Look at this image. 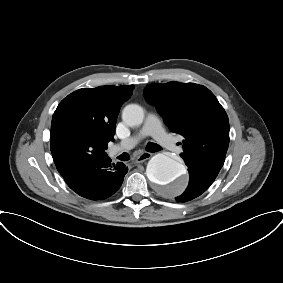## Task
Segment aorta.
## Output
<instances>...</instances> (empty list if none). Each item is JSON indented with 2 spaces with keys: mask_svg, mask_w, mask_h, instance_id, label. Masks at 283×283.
Instances as JSON below:
<instances>
[{
  "mask_svg": "<svg viewBox=\"0 0 283 283\" xmlns=\"http://www.w3.org/2000/svg\"><path fill=\"white\" fill-rule=\"evenodd\" d=\"M143 119L144 111L141 106L129 104L123 109L122 120L128 126H138ZM146 175L152 183L164 188L171 195H180L187 186L184 165L163 153H158L149 160Z\"/></svg>",
  "mask_w": 283,
  "mask_h": 283,
  "instance_id": "aorta-1",
  "label": "aorta"
}]
</instances>
